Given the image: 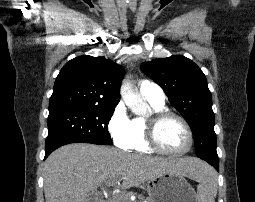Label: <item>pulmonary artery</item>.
I'll use <instances>...</instances> for the list:
<instances>
[{
    "mask_svg": "<svg viewBox=\"0 0 255 202\" xmlns=\"http://www.w3.org/2000/svg\"><path fill=\"white\" fill-rule=\"evenodd\" d=\"M139 91L141 95L156 104H164L165 94L162 88L154 82L143 80L139 83Z\"/></svg>",
    "mask_w": 255,
    "mask_h": 202,
    "instance_id": "1",
    "label": "pulmonary artery"
}]
</instances>
